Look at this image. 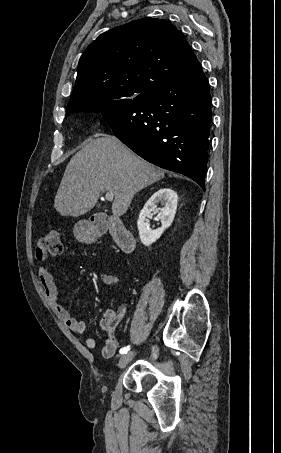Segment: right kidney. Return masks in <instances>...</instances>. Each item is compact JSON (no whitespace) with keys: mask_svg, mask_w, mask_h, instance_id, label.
Masks as SVG:
<instances>
[{"mask_svg":"<svg viewBox=\"0 0 281 453\" xmlns=\"http://www.w3.org/2000/svg\"><path fill=\"white\" fill-rule=\"evenodd\" d=\"M177 198V192L172 190V188L165 186V188H159L157 192H154L149 200H147L146 204H144L137 222L139 237L143 245L149 247V245L155 243L157 239H160L165 229L170 227L177 208ZM158 202H161L163 208H158ZM154 212H158V218L161 220L162 227L152 231V229H149L150 222L146 216H151ZM145 220H147V222H145Z\"/></svg>","mask_w":281,"mask_h":453,"instance_id":"1","label":"right kidney"}]
</instances>
